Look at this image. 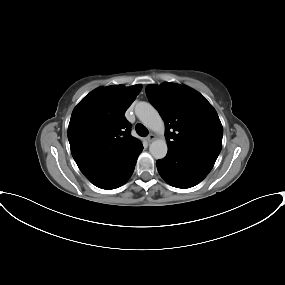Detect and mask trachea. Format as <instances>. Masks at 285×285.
<instances>
[{"instance_id":"3493384b","label":"trachea","mask_w":285,"mask_h":285,"mask_svg":"<svg viewBox=\"0 0 285 285\" xmlns=\"http://www.w3.org/2000/svg\"><path fill=\"white\" fill-rule=\"evenodd\" d=\"M135 129H136L137 134L142 137H145L148 135V129L142 124H137Z\"/></svg>"}]
</instances>
